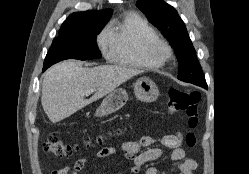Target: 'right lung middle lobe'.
<instances>
[{
  "label": "right lung middle lobe",
  "mask_w": 249,
  "mask_h": 174,
  "mask_svg": "<svg viewBox=\"0 0 249 174\" xmlns=\"http://www.w3.org/2000/svg\"><path fill=\"white\" fill-rule=\"evenodd\" d=\"M106 23L107 21L94 22L78 29L59 32L46 55L43 71L65 59L89 60L101 58L96 44V36Z\"/></svg>",
  "instance_id": "obj_1"
}]
</instances>
